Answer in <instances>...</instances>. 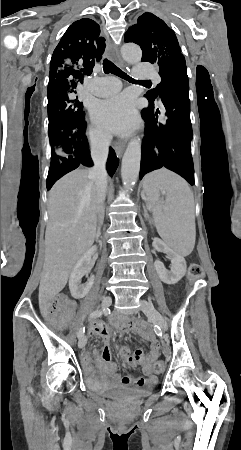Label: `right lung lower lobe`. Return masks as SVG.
Returning a JSON list of instances; mask_svg holds the SVG:
<instances>
[{
  "mask_svg": "<svg viewBox=\"0 0 241 450\" xmlns=\"http://www.w3.org/2000/svg\"><path fill=\"white\" fill-rule=\"evenodd\" d=\"M86 121L77 122L62 127L61 132L69 140L73 147L74 154L67 157H55L51 161L47 177V189H51L53 184L66 173L76 169L80 164L91 167L93 161L90 156L89 144L85 135ZM119 164V159L112 148L106 163V169L110 176H113Z\"/></svg>",
  "mask_w": 241,
  "mask_h": 450,
  "instance_id": "right-lung-lower-lobe-1",
  "label": "right lung lower lobe"
}]
</instances>
